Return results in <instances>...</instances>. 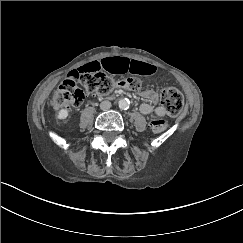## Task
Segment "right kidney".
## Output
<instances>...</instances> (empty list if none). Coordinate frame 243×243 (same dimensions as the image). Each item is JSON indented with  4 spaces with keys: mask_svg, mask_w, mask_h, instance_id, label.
<instances>
[{
    "mask_svg": "<svg viewBox=\"0 0 243 243\" xmlns=\"http://www.w3.org/2000/svg\"><path fill=\"white\" fill-rule=\"evenodd\" d=\"M68 116H69V112H68V110L65 109V108L60 109V110L57 112V114H56V118H57L58 120H61L63 124H67V123H68V121H67Z\"/></svg>",
    "mask_w": 243,
    "mask_h": 243,
    "instance_id": "right-kidney-1",
    "label": "right kidney"
}]
</instances>
